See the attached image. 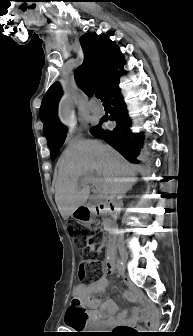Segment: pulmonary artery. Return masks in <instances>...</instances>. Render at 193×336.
<instances>
[{
    "label": "pulmonary artery",
    "mask_w": 193,
    "mask_h": 336,
    "mask_svg": "<svg viewBox=\"0 0 193 336\" xmlns=\"http://www.w3.org/2000/svg\"><path fill=\"white\" fill-rule=\"evenodd\" d=\"M89 109L91 113L95 115H102L104 113V108L101 105H98L95 99L90 100Z\"/></svg>",
    "instance_id": "obj_1"
}]
</instances>
